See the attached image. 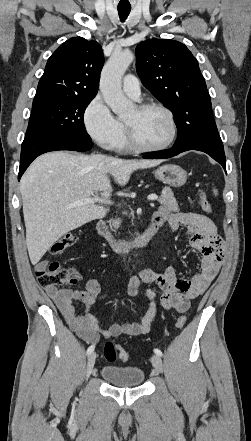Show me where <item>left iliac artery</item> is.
<instances>
[{
	"label": "left iliac artery",
	"mask_w": 251,
	"mask_h": 441,
	"mask_svg": "<svg viewBox=\"0 0 251 441\" xmlns=\"http://www.w3.org/2000/svg\"><path fill=\"white\" fill-rule=\"evenodd\" d=\"M154 353H155L156 355H159V356H162V355H163V354H162V351H161L160 349H157V348L154 349Z\"/></svg>",
	"instance_id": "44dca946"
}]
</instances>
